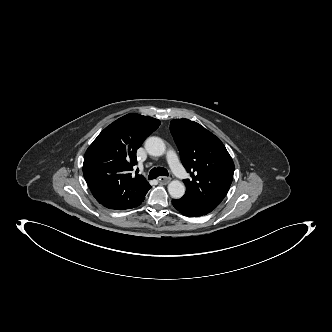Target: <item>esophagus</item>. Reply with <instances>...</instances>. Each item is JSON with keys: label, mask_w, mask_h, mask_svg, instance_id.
<instances>
[{"label": "esophagus", "mask_w": 332, "mask_h": 332, "mask_svg": "<svg viewBox=\"0 0 332 332\" xmlns=\"http://www.w3.org/2000/svg\"><path fill=\"white\" fill-rule=\"evenodd\" d=\"M170 180H171L170 177H165V176H160L158 179L159 183L161 184H167L170 182Z\"/></svg>", "instance_id": "1"}]
</instances>
